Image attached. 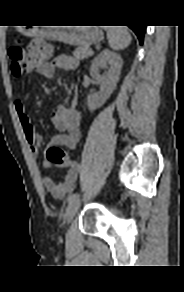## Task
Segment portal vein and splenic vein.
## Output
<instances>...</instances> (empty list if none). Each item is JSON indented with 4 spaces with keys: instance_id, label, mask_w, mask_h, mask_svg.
Masks as SVG:
<instances>
[{
    "instance_id": "obj_1",
    "label": "portal vein and splenic vein",
    "mask_w": 184,
    "mask_h": 292,
    "mask_svg": "<svg viewBox=\"0 0 184 292\" xmlns=\"http://www.w3.org/2000/svg\"><path fill=\"white\" fill-rule=\"evenodd\" d=\"M89 53H90V55H92L94 52L91 50Z\"/></svg>"
}]
</instances>
